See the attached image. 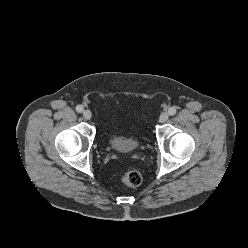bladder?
<instances>
[{
	"instance_id": "1",
	"label": "bladder",
	"mask_w": 248,
	"mask_h": 248,
	"mask_svg": "<svg viewBox=\"0 0 248 248\" xmlns=\"http://www.w3.org/2000/svg\"><path fill=\"white\" fill-rule=\"evenodd\" d=\"M107 143L113 150L123 153L135 152L140 147L138 139L120 133H111L108 136Z\"/></svg>"
}]
</instances>
